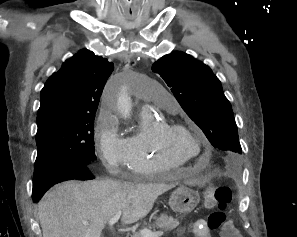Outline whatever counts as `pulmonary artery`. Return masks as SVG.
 <instances>
[{"label": "pulmonary artery", "instance_id": "1", "mask_svg": "<svg viewBox=\"0 0 297 237\" xmlns=\"http://www.w3.org/2000/svg\"><path fill=\"white\" fill-rule=\"evenodd\" d=\"M155 102L157 105L171 111H176L178 108V103L176 102L174 97L168 93H165L164 95L158 97Z\"/></svg>", "mask_w": 297, "mask_h": 237}]
</instances>
